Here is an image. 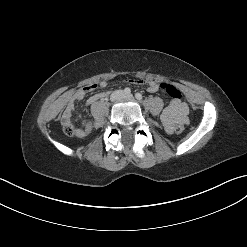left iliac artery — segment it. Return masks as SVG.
Returning <instances> with one entry per match:
<instances>
[{"label":"left iliac artery","instance_id":"44dca946","mask_svg":"<svg viewBox=\"0 0 247 247\" xmlns=\"http://www.w3.org/2000/svg\"><path fill=\"white\" fill-rule=\"evenodd\" d=\"M136 99L142 100L143 96L140 93L135 94Z\"/></svg>","mask_w":247,"mask_h":247}]
</instances>
